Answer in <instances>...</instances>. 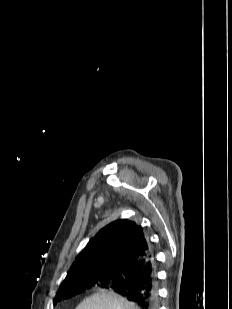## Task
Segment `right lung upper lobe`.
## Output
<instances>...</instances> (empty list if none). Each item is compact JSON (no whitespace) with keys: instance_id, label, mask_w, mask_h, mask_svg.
I'll list each match as a JSON object with an SVG mask.
<instances>
[{"instance_id":"1","label":"right lung upper lobe","mask_w":232,"mask_h":309,"mask_svg":"<svg viewBox=\"0 0 232 309\" xmlns=\"http://www.w3.org/2000/svg\"><path fill=\"white\" fill-rule=\"evenodd\" d=\"M152 256L143 228L128 219L116 220L102 228L88 242L76 257L64 281L88 271L123 274L130 269L140 268Z\"/></svg>"}]
</instances>
